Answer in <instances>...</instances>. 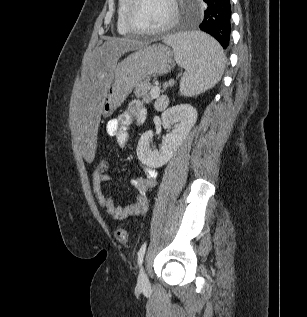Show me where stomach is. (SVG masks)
<instances>
[{
    "label": "stomach",
    "mask_w": 307,
    "mask_h": 317,
    "mask_svg": "<svg viewBox=\"0 0 307 317\" xmlns=\"http://www.w3.org/2000/svg\"><path fill=\"white\" fill-rule=\"evenodd\" d=\"M173 67V52L165 45L153 44L129 54L116 64L101 106L104 116L111 115L133 87L145 79L167 74Z\"/></svg>",
    "instance_id": "0dacf381"
}]
</instances>
